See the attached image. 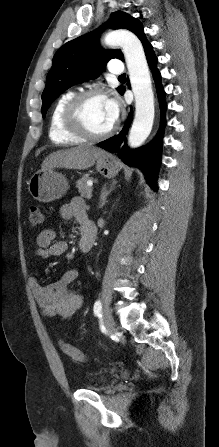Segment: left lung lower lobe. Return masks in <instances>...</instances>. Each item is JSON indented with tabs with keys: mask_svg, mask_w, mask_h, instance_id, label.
<instances>
[{
	"mask_svg": "<svg viewBox=\"0 0 219 447\" xmlns=\"http://www.w3.org/2000/svg\"><path fill=\"white\" fill-rule=\"evenodd\" d=\"M141 42L144 47L148 64L150 65L153 71V76L157 89V95L161 108V128L156 139L146 147L130 151L125 144L120 150L119 158L122 159L123 162H125L128 165L140 168L144 172L150 187L156 191L157 190L156 177L160 164L162 132H163V126L165 124L164 112L167 108V104L164 100L165 92L161 84L160 72L156 68V63L158 60L152 50V45L146 40L145 37L141 40ZM124 92L125 89L122 90L121 94H123ZM131 121H132V110L131 113L129 114L127 122L124 125L122 131L118 135L113 136L103 142H100L99 146L107 151L113 152V150L123 142L126 132L131 124Z\"/></svg>",
	"mask_w": 219,
	"mask_h": 447,
	"instance_id": "obj_1",
	"label": "left lung lower lobe"
}]
</instances>
